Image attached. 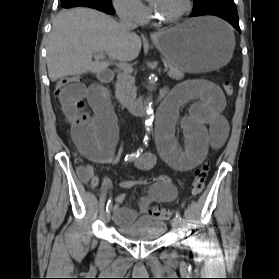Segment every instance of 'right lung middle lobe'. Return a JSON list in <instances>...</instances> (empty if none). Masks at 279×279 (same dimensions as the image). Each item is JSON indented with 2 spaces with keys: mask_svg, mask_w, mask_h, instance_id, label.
Masks as SVG:
<instances>
[{
  "mask_svg": "<svg viewBox=\"0 0 279 279\" xmlns=\"http://www.w3.org/2000/svg\"><path fill=\"white\" fill-rule=\"evenodd\" d=\"M100 1L106 5H112L111 0H100Z\"/></svg>",
  "mask_w": 279,
  "mask_h": 279,
  "instance_id": "obj_1",
  "label": "right lung middle lobe"
}]
</instances>
